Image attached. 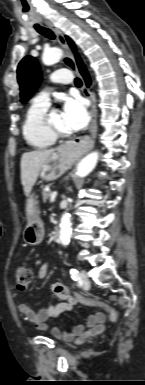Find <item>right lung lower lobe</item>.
<instances>
[{
  "label": "right lung lower lobe",
  "instance_id": "1",
  "mask_svg": "<svg viewBox=\"0 0 145 385\" xmlns=\"http://www.w3.org/2000/svg\"><path fill=\"white\" fill-rule=\"evenodd\" d=\"M78 67H79V70H80L82 76L85 79L86 84L89 86L90 85V77L88 75V72H87L85 66L82 64V65H80Z\"/></svg>",
  "mask_w": 145,
  "mask_h": 385
}]
</instances>
